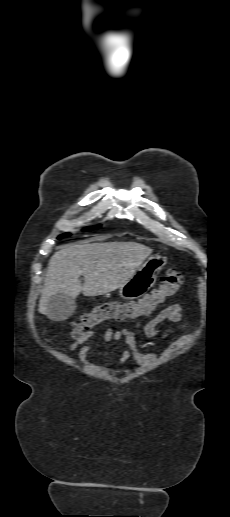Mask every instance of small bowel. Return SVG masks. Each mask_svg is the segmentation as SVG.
<instances>
[{
	"instance_id": "obj_1",
	"label": "small bowel",
	"mask_w": 230,
	"mask_h": 517,
	"mask_svg": "<svg viewBox=\"0 0 230 517\" xmlns=\"http://www.w3.org/2000/svg\"><path fill=\"white\" fill-rule=\"evenodd\" d=\"M164 322L184 325V331L177 334L167 342L165 346V352H172L176 350L192 338L193 333L186 331V318L183 314V308L179 304L170 305L160 310L152 319L144 324V334L149 338L157 337L160 333L159 326ZM136 326H138V324ZM94 337L95 335L93 333H87L83 335L69 346V352H75L79 348V357L81 359H86L87 355L91 351L90 346L86 345V342ZM102 340L104 342H118L121 340L124 341L125 350L120 358V362H123L127 359H133L138 364H145L155 358V354L143 353L138 349L136 336L132 329H108L104 333ZM97 361H99V359L93 363Z\"/></svg>"
}]
</instances>
